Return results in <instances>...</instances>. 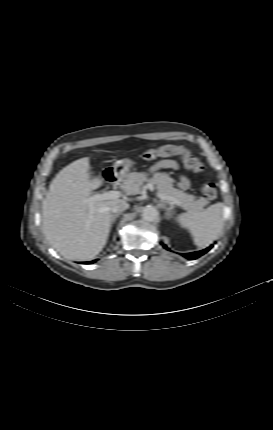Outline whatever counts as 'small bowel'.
<instances>
[{"mask_svg":"<svg viewBox=\"0 0 273 430\" xmlns=\"http://www.w3.org/2000/svg\"><path fill=\"white\" fill-rule=\"evenodd\" d=\"M178 168V164L171 159H163L155 163L151 170L152 171H158L163 169H173L176 170ZM178 185L182 189H188L190 187V181L185 176H180Z\"/></svg>","mask_w":273,"mask_h":430,"instance_id":"obj_1","label":"small bowel"}]
</instances>
